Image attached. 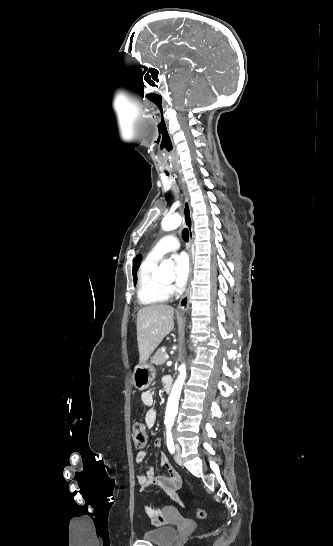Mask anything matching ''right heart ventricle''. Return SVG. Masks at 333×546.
Masks as SVG:
<instances>
[{"mask_svg":"<svg viewBox=\"0 0 333 546\" xmlns=\"http://www.w3.org/2000/svg\"><path fill=\"white\" fill-rule=\"evenodd\" d=\"M157 263L158 260L147 257L139 268L137 297L144 306L164 303L170 296L168 288L155 275Z\"/></svg>","mask_w":333,"mask_h":546,"instance_id":"right-heart-ventricle-1","label":"right heart ventricle"}]
</instances>
